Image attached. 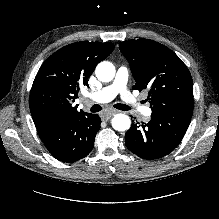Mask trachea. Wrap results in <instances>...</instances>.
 I'll return each mask as SVG.
<instances>
[{
    "instance_id": "1",
    "label": "trachea",
    "mask_w": 219,
    "mask_h": 219,
    "mask_svg": "<svg viewBox=\"0 0 219 219\" xmlns=\"http://www.w3.org/2000/svg\"><path fill=\"white\" fill-rule=\"evenodd\" d=\"M114 107L117 108V109H119V110H124V111H127V110H130V109H131L130 106L125 105V104H120V103L115 104ZM101 109H102V108H101L100 105L95 104V105H93V106L90 108V111H91V112H99Z\"/></svg>"
}]
</instances>
